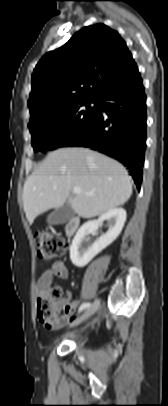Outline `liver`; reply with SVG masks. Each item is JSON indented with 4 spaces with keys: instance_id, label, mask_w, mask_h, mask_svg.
I'll return each mask as SVG.
<instances>
[{
    "instance_id": "6515ba94",
    "label": "liver",
    "mask_w": 168,
    "mask_h": 406,
    "mask_svg": "<svg viewBox=\"0 0 168 406\" xmlns=\"http://www.w3.org/2000/svg\"><path fill=\"white\" fill-rule=\"evenodd\" d=\"M73 187L82 193L72 196ZM131 194V177L116 160L86 148H61L49 153L29 176L22 199L32 224L38 215L66 201L78 216L93 218L123 205Z\"/></svg>"
}]
</instances>
